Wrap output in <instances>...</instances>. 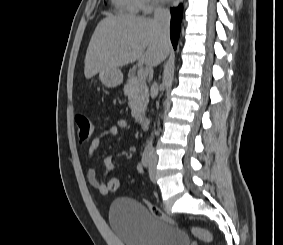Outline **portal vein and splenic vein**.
Returning a JSON list of instances; mask_svg holds the SVG:
<instances>
[{"label": "portal vein and splenic vein", "mask_w": 283, "mask_h": 245, "mask_svg": "<svg viewBox=\"0 0 283 245\" xmlns=\"http://www.w3.org/2000/svg\"><path fill=\"white\" fill-rule=\"evenodd\" d=\"M137 75H138V77H140V78H146L147 75H148V72H147V70L144 69V68H139V69H138V72H137Z\"/></svg>", "instance_id": "obj_1"}]
</instances>
